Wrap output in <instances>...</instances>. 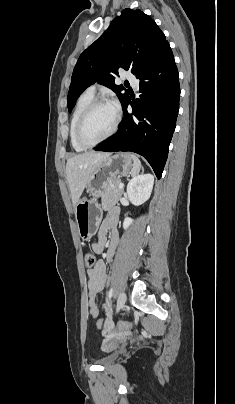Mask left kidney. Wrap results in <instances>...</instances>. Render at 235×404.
Wrapping results in <instances>:
<instances>
[{"instance_id": "5707ae66", "label": "left kidney", "mask_w": 235, "mask_h": 404, "mask_svg": "<svg viewBox=\"0 0 235 404\" xmlns=\"http://www.w3.org/2000/svg\"><path fill=\"white\" fill-rule=\"evenodd\" d=\"M154 184L152 174H140L133 177L127 185V195L131 203L140 205L150 198ZM133 220L126 217L123 222V228L127 229Z\"/></svg>"}]
</instances>
